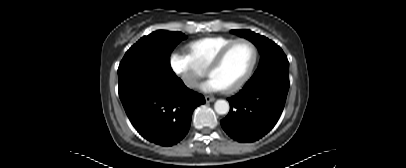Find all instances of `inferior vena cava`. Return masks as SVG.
Instances as JSON below:
<instances>
[{"mask_svg":"<svg viewBox=\"0 0 406 168\" xmlns=\"http://www.w3.org/2000/svg\"><path fill=\"white\" fill-rule=\"evenodd\" d=\"M186 81H187L188 84H193L194 83V80L189 78V77L186 78Z\"/></svg>","mask_w":406,"mask_h":168,"instance_id":"1","label":"inferior vena cava"}]
</instances>
